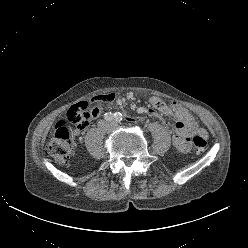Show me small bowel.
Segmentation results:
<instances>
[{
    "mask_svg": "<svg viewBox=\"0 0 248 248\" xmlns=\"http://www.w3.org/2000/svg\"><path fill=\"white\" fill-rule=\"evenodd\" d=\"M114 101L115 96L113 101L109 103H113ZM103 103L104 102H97L99 109L95 117H98L100 115L101 104ZM150 104L154 109L139 107L137 108V112L140 114L149 115L147 121L152 125H156L158 123L157 119L161 120L162 123L167 124L166 120L163 118V115H165L166 117H171L174 114L176 119V132L173 135L172 143L174 147L180 152H188L191 145L189 135L198 130L196 128L195 120L191 116V114L184 107L177 103L172 104V106H167L164 101L158 97H152L150 99Z\"/></svg>",
    "mask_w": 248,
    "mask_h": 248,
    "instance_id": "1",
    "label": "small bowel"
}]
</instances>
